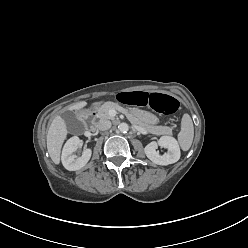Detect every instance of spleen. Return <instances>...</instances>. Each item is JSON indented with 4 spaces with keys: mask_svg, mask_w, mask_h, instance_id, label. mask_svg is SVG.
<instances>
[{
    "mask_svg": "<svg viewBox=\"0 0 248 248\" xmlns=\"http://www.w3.org/2000/svg\"><path fill=\"white\" fill-rule=\"evenodd\" d=\"M194 138L193 122L189 114H184L181 120V131L178 134V142L183 151L190 149Z\"/></svg>",
    "mask_w": 248,
    "mask_h": 248,
    "instance_id": "1",
    "label": "spleen"
}]
</instances>
